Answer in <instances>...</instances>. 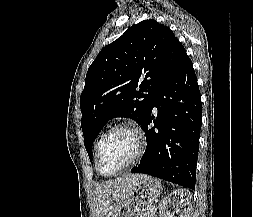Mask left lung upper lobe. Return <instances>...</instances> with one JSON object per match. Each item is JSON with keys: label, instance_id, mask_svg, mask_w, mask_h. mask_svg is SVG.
I'll return each instance as SVG.
<instances>
[{"label": "left lung upper lobe", "instance_id": "5c2ea615", "mask_svg": "<svg viewBox=\"0 0 253 217\" xmlns=\"http://www.w3.org/2000/svg\"><path fill=\"white\" fill-rule=\"evenodd\" d=\"M185 54L174 33L155 20L131 26L99 52L88 69L80 98L90 161L92 143L108 120L129 117L141 125L154 93Z\"/></svg>", "mask_w": 253, "mask_h": 217}]
</instances>
